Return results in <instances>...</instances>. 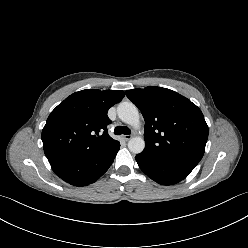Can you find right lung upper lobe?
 <instances>
[{
	"mask_svg": "<svg viewBox=\"0 0 248 248\" xmlns=\"http://www.w3.org/2000/svg\"><path fill=\"white\" fill-rule=\"evenodd\" d=\"M123 97L121 90L96 89L67 97L51 112L42 130L47 159L86 158L118 143L108 134L107 112Z\"/></svg>",
	"mask_w": 248,
	"mask_h": 248,
	"instance_id": "cb5924a9",
	"label": "right lung upper lobe"
}]
</instances>
